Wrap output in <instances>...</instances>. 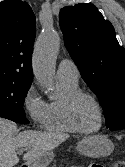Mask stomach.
<instances>
[{"instance_id": "0dacf381", "label": "stomach", "mask_w": 125, "mask_h": 167, "mask_svg": "<svg viewBox=\"0 0 125 167\" xmlns=\"http://www.w3.org/2000/svg\"><path fill=\"white\" fill-rule=\"evenodd\" d=\"M114 149L113 143L105 136H89L77 144V151L87 157L100 158L108 156ZM54 159L53 151H46L26 163V167H47Z\"/></svg>"}]
</instances>
